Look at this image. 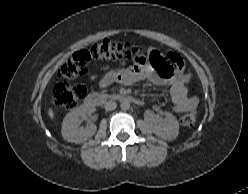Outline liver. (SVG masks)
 Instances as JSON below:
<instances>
[{
	"instance_id": "6515ba94",
	"label": "liver",
	"mask_w": 248,
	"mask_h": 194,
	"mask_svg": "<svg viewBox=\"0 0 248 194\" xmlns=\"http://www.w3.org/2000/svg\"><path fill=\"white\" fill-rule=\"evenodd\" d=\"M48 116L53 120L54 119V111L52 108L48 109Z\"/></svg>"
}]
</instances>
